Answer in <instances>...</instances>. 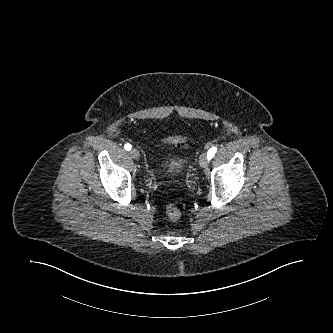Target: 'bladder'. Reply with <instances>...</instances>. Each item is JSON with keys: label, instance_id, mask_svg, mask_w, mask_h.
Listing matches in <instances>:
<instances>
[{"label": "bladder", "instance_id": "bladder-1", "mask_svg": "<svg viewBox=\"0 0 333 333\" xmlns=\"http://www.w3.org/2000/svg\"><path fill=\"white\" fill-rule=\"evenodd\" d=\"M181 169L182 163L180 161L173 160L164 166L163 171L170 174H178L181 172Z\"/></svg>", "mask_w": 333, "mask_h": 333}]
</instances>
